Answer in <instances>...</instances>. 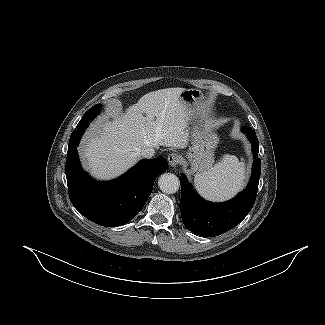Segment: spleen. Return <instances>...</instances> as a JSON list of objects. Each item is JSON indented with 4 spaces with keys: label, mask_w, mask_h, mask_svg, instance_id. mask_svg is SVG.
<instances>
[{
    "label": "spleen",
    "mask_w": 325,
    "mask_h": 325,
    "mask_svg": "<svg viewBox=\"0 0 325 325\" xmlns=\"http://www.w3.org/2000/svg\"><path fill=\"white\" fill-rule=\"evenodd\" d=\"M245 167L234 155L225 154L213 167L197 173L194 184L207 200L220 202L232 198L244 187Z\"/></svg>",
    "instance_id": "1"
}]
</instances>
